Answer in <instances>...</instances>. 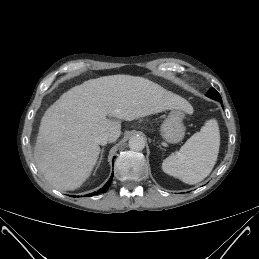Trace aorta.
<instances>
[{"instance_id": "1", "label": "aorta", "mask_w": 259, "mask_h": 259, "mask_svg": "<svg viewBox=\"0 0 259 259\" xmlns=\"http://www.w3.org/2000/svg\"><path fill=\"white\" fill-rule=\"evenodd\" d=\"M128 145L133 151H142L145 148V139L139 135L133 136L130 138Z\"/></svg>"}]
</instances>
